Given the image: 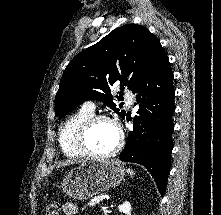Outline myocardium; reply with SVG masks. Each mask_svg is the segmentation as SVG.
I'll return each mask as SVG.
<instances>
[{
  "instance_id": "myocardium-1",
  "label": "myocardium",
  "mask_w": 221,
  "mask_h": 215,
  "mask_svg": "<svg viewBox=\"0 0 221 215\" xmlns=\"http://www.w3.org/2000/svg\"><path fill=\"white\" fill-rule=\"evenodd\" d=\"M101 121L109 122L115 127L117 131L118 139H117L116 145L108 152L96 153V152H93L89 148L87 144V137L92 127L96 123L101 122ZM77 141H78L79 148L85 155H88L93 158H108V157L114 156L121 150L124 144V133H123L122 127L114 118L108 115H104V114L93 115L89 119H87L82 125V127L80 128Z\"/></svg>"
}]
</instances>
